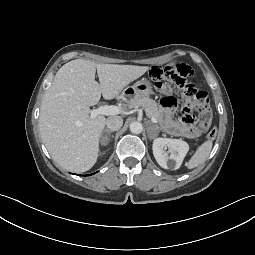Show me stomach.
I'll return each instance as SVG.
<instances>
[{
  "mask_svg": "<svg viewBox=\"0 0 255 255\" xmlns=\"http://www.w3.org/2000/svg\"><path fill=\"white\" fill-rule=\"evenodd\" d=\"M153 93L152 84L147 79L136 82L133 86L127 87L122 92V97H148Z\"/></svg>",
  "mask_w": 255,
  "mask_h": 255,
  "instance_id": "1",
  "label": "stomach"
}]
</instances>
